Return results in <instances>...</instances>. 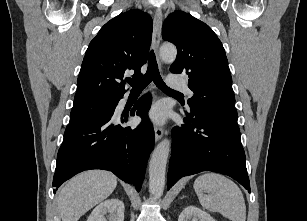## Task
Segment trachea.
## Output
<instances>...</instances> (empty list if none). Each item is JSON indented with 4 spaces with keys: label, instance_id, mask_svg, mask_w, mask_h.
Here are the masks:
<instances>
[{
    "label": "trachea",
    "instance_id": "3493384b",
    "mask_svg": "<svg viewBox=\"0 0 307 221\" xmlns=\"http://www.w3.org/2000/svg\"><path fill=\"white\" fill-rule=\"evenodd\" d=\"M152 81L163 92L181 94L180 92L169 88L164 83L163 79L161 78L153 50L149 54L148 69L146 74L139 79H128L127 82L130 84V86H132V90H143Z\"/></svg>",
    "mask_w": 307,
    "mask_h": 221
}]
</instances>
